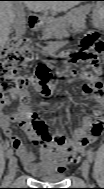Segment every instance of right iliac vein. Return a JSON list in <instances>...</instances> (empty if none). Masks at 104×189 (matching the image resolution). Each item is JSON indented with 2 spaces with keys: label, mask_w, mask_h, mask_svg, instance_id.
Returning <instances> with one entry per match:
<instances>
[{
  "label": "right iliac vein",
  "mask_w": 104,
  "mask_h": 189,
  "mask_svg": "<svg viewBox=\"0 0 104 189\" xmlns=\"http://www.w3.org/2000/svg\"><path fill=\"white\" fill-rule=\"evenodd\" d=\"M18 164L16 157H11L9 162L8 180L12 181L15 178Z\"/></svg>",
  "instance_id": "right-iliac-vein-1"
}]
</instances>
